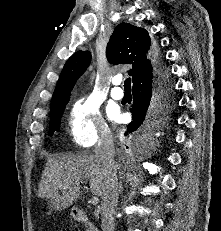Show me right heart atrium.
I'll list each match as a JSON object with an SVG mask.
<instances>
[{
	"label": "right heart atrium",
	"instance_id": "1",
	"mask_svg": "<svg viewBox=\"0 0 221 231\" xmlns=\"http://www.w3.org/2000/svg\"><path fill=\"white\" fill-rule=\"evenodd\" d=\"M69 133L81 147H91L111 139V133L98 106L89 97L77 99L70 110Z\"/></svg>",
	"mask_w": 221,
	"mask_h": 231
}]
</instances>
